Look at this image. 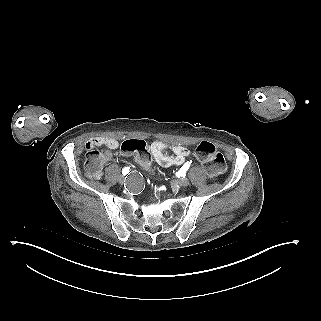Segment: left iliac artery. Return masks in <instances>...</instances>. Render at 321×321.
Segmentation results:
<instances>
[{
  "label": "left iliac artery",
  "mask_w": 321,
  "mask_h": 321,
  "mask_svg": "<svg viewBox=\"0 0 321 321\" xmlns=\"http://www.w3.org/2000/svg\"><path fill=\"white\" fill-rule=\"evenodd\" d=\"M189 167H190V164L187 162L181 167V170L183 172H186L189 169Z\"/></svg>",
  "instance_id": "44dca946"
}]
</instances>
